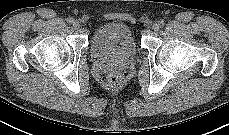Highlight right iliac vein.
<instances>
[{
  "instance_id": "1",
  "label": "right iliac vein",
  "mask_w": 229,
  "mask_h": 135,
  "mask_svg": "<svg viewBox=\"0 0 229 135\" xmlns=\"http://www.w3.org/2000/svg\"><path fill=\"white\" fill-rule=\"evenodd\" d=\"M73 27H74L75 29H78V28L80 27V23H79L78 21H74V22H73Z\"/></svg>"
}]
</instances>
